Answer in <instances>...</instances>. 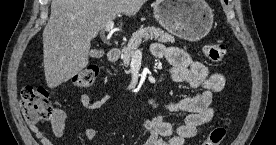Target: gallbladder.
Wrapping results in <instances>:
<instances>
[{"mask_svg":"<svg viewBox=\"0 0 276 145\" xmlns=\"http://www.w3.org/2000/svg\"><path fill=\"white\" fill-rule=\"evenodd\" d=\"M97 54H98V51H96V50H92L90 52L91 57H97Z\"/></svg>","mask_w":276,"mask_h":145,"instance_id":"obj_1","label":"gallbladder"}]
</instances>
